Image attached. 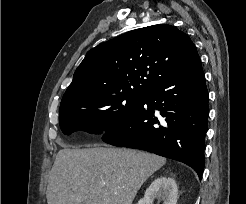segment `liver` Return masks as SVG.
<instances>
[{
    "instance_id": "liver-1",
    "label": "liver",
    "mask_w": 246,
    "mask_h": 204,
    "mask_svg": "<svg viewBox=\"0 0 246 204\" xmlns=\"http://www.w3.org/2000/svg\"><path fill=\"white\" fill-rule=\"evenodd\" d=\"M165 162L131 149H61L49 174L47 204H132L142 184Z\"/></svg>"
}]
</instances>
